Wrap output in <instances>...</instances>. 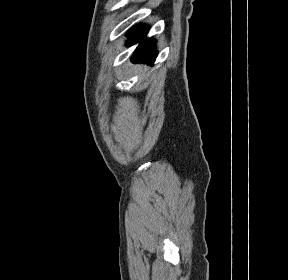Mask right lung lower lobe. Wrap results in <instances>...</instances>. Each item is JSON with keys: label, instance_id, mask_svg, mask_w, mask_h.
I'll list each match as a JSON object with an SVG mask.
<instances>
[{"label": "right lung lower lobe", "instance_id": "1", "mask_svg": "<svg viewBox=\"0 0 288 280\" xmlns=\"http://www.w3.org/2000/svg\"><path fill=\"white\" fill-rule=\"evenodd\" d=\"M148 26L141 24L134 26L127 34L128 44L139 43L133 55V62L152 64L157 56L156 41L153 38L147 39Z\"/></svg>", "mask_w": 288, "mask_h": 280}]
</instances>
